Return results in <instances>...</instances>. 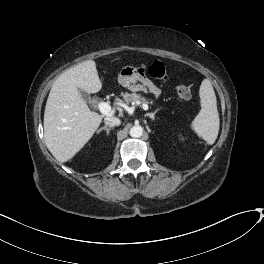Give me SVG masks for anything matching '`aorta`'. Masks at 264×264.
I'll list each match as a JSON object with an SVG mask.
<instances>
[{
	"mask_svg": "<svg viewBox=\"0 0 264 264\" xmlns=\"http://www.w3.org/2000/svg\"><path fill=\"white\" fill-rule=\"evenodd\" d=\"M131 137L138 138L143 134V128L140 125H134L129 132Z\"/></svg>",
	"mask_w": 264,
	"mask_h": 264,
	"instance_id": "762f6f07",
	"label": "aorta"
}]
</instances>
